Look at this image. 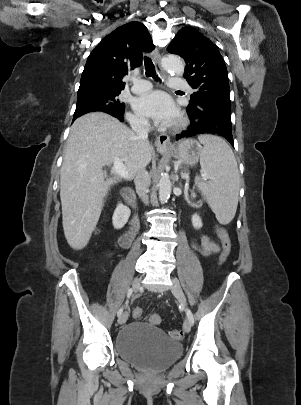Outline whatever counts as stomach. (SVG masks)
I'll return each mask as SVG.
<instances>
[{"label":"stomach","mask_w":301,"mask_h":405,"mask_svg":"<svg viewBox=\"0 0 301 405\" xmlns=\"http://www.w3.org/2000/svg\"><path fill=\"white\" fill-rule=\"evenodd\" d=\"M159 152L163 155L172 156L188 165H195L202 153V147L196 140L186 139L171 145L167 149H159Z\"/></svg>","instance_id":"1"}]
</instances>
